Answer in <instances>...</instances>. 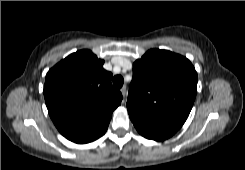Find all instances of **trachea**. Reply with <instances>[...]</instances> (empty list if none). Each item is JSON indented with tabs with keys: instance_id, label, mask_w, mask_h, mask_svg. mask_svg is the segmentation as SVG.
I'll list each match as a JSON object with an SVG mask.
<instances>
[{
	"instance_id": "obj_1",
	"label": "trachea",
	"mask_w": 245,
	"mask_h": 170,
	"mask_svg": "<svg viewBox=\"0 0 245 170\" xmlns=\"http://www.w3.org/2000/svg\"><path fill=\"white\" fill-rule=\"evenodd\" d=\"M124 79L121 75H117L113 78V85L119 89L123 86Z\"/></svg>"
}]
</instances>
